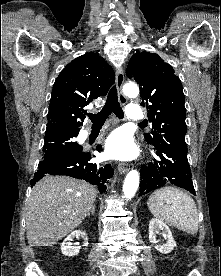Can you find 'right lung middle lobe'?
I'll return each instance as SVG.
<instances>
[{
	"mask_svg": "<svg viewBox=\"0 0 221 276\" xmlns=\"http://www.w3.org/2000/svg\"><path fill=\"white\" fill-rule=\"evenodd\" d=\"M78 133L46 134L43 146V159L63 155L82 148L73 140Z\"/></svg>",
	"mask_w": 221,
	"mask_h": 276,
	"instance_id": "1",
	"label": "right lung middle lobe"
}]
</instances>
